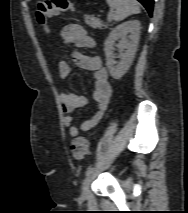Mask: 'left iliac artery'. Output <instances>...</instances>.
<instances>
[{
    "mask_svg": "<svg viewBox=\"0 0 188 213\" xmlns=\"http://www.w3.org/2000/svg\"><path fill=\"white\" fill-rule=\"evenodd\" d=\"M94 171V167H89L86 171V176H89L90 174H92Z\"/></svg>",
    "mask_w": 188,
    "mask_h": 213,
    "instance_id": "1",
    "label": "left iliac artery"
}]
</instances>
